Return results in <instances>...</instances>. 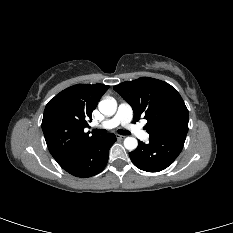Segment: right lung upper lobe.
Segmentation results:
<instances>
[{
    "mask_svg": "<svg viewBox=\"0 0 233 233\" xmlns=\"http://www.w3.org/2000/svg\"><path fill=\"white\" fill-rule=\"evenodd\" d=\"M103 84L71 86L46 105L42 130L51 155L62 167L99 136L84 132L99 99L108 90Z\"/></svg>",
    "mask_w": 233,
    "mask_h": 233,
    "instance_id": "obj_1",
    "label": "right lung upper lobe"
}]
</instances>
